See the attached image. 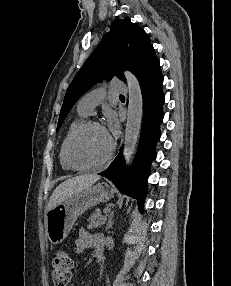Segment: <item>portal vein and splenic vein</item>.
<instances>
[{
    "label": "portal vein and splenic vein",
    "mask_w": 231,
    "mask_h": 286,
    "mask_svg": "<svg viewBox=\"0 0 231 286\" xmlns=\"http://www.w3.org/2000/svg\"><path fill=\"white\" fill-rule=\"evenodd\" d=\"M110 210H111V209L108 207V208H105V209L103 210V212H104V213H108V212H110Z\"/></svg>",
    "instance_id": "obj_1"
}]
</instances>
